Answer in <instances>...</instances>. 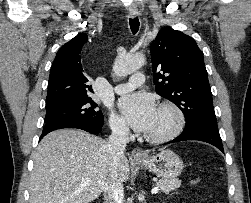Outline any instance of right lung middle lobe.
<instances>
[{
	"mask_svg": "<svg viewBox=\"0 0 251 203\" xmlns=\"http://www.w3.org/2000/svg\"><path fill=\"white\" fill-rule=\"evenodd\" d=\"M91 97L46 108L45 123L64 118H83L103 126L102 112Z\"/></svg>",
	"mask_w": 251,
	"mask_h": 203,
	"instance_id": "obj_1",
	"label": "right lung middle lobe"
}]
</instances>
